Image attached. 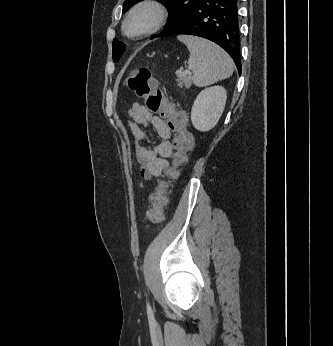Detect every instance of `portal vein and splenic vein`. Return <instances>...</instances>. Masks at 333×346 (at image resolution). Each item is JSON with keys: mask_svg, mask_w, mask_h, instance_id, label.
Listing matches in <instances>:
<instances>
[{"mask_svg": "<svg viewBox=\"0 0 333 346\" xmlns=\"http://www.w3.org/2000/svg\"><path fill=\"white\" fill-rule=\"evenodd\" d=\"M184 74H191V72L189 71V70H185L184 72H183Z\"/></svg>", "mask_w": 333, "mask_h": 346, "instance_id": "obj_1", "label": "portal vein and splenic vein"}]
</instances>
